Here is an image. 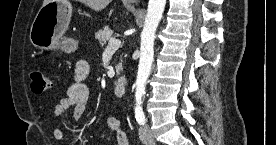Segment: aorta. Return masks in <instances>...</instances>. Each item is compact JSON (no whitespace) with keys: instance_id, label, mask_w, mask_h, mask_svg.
<instances>
[{"instance_id":"obj_1","label":"aorta","mask_w":276,"mask_h":145,"mask_svg":"<svg viewBox=\"0 0 276 145\" xmlns=\"http://www.w3.org/2000/svg\"><path fill=\"white\" fill-rule=\"evenodd\" d=\"M166 0H149L144 27L141 32L140 60L136 78V105H141L147 79L153 63L154 40L162 18Z\"/></svg>"}]
</instances>
